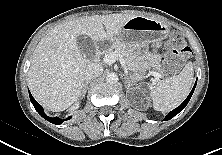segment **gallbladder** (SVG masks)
I'll return each mask as SVG.
<instances>
[{
    "mask_svg": "<svg viewBox=\"0 0 222 155\" xmlns=\"http://www.w3.org/2000/svg\"><path fill=\"white\" fill-rule=\"evenodd\" d=\"M77 45L81 53L86 58H92L95 53V45L91 38L86 35H79L77 37Z\"/></svg>",
    "mask_w": 222,
    "mask_h": 155,
    "instance_id": "obj_1",
    "label": "gallbladder"
}]
</instances>
